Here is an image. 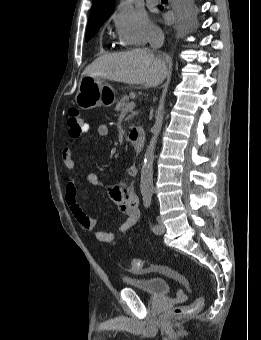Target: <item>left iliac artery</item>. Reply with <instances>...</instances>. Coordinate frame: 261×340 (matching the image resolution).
Instances as JSON below:
<instances>
[{
    "mask_svg": "<svg viewBox=\"0 0 261 340\" xmlns=\"http://www.w3.org/2000/svg\"><path fill=\"white\" fill-rule=\"evenodd\" d=\"M143 200H144V205L146 208L150 207L151 202H152V193L148 192L143 195ZM159 229V226L155 224L153 226V231L156 232Z\"/></svg>",
    "mask_w": 261,
    "mask_h": 340,
    "instance_id": "left-iliac-artery-1",
    "label": "left iliac artery"
}]
</instances>
